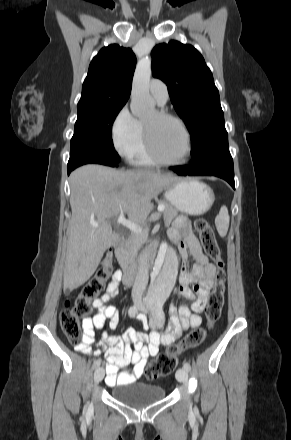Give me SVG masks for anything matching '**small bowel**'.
I'll return each instance as SVG.
<instances>
[{"label": "small bowel", "mask_w": 291, "mask_h": 440, "mask_svg": "<svg viewBox=\"0 0 291 440\" xmlns=\"http://www.w3.org/2000/svg\"><path fill=\"white\" fill-rule=\"evenodd\" d=\"M169 240L178 246L184 260L188 254L196 260L191 271L181 269L179 276L178 294L193 301L191 308L187 306L177 307L170 304L168 313L170 316V328L162 334L152 330L149 334H142L134 329H128L121 337H109L102 334V342L97 343L105 353L106 359V384L116 386L129 383L140 377L149 360L159 353L161 346L169 345L182 335L184 329L198 327L202 319L198 313L202 312L208 303V285L215 276L216 267L210 262L208 256L203 253L198 244L193 230L185 218L177 219L168 230ZM122 273L117 271L106 293L94 301L95 314L83 321V341L75 346L80 352L89 353L95 344V330L103 327L106 320L111 330L119 326V315L115 308L106 302L117 293L121 282ZM194 283L191 290L188 285ZM137 319L146 325V317L142 314ZM101 350H97V355ZM133 364V371H127L126 367Z\"/></svg>", "instance_id": "obj_1"}]
</instances>
